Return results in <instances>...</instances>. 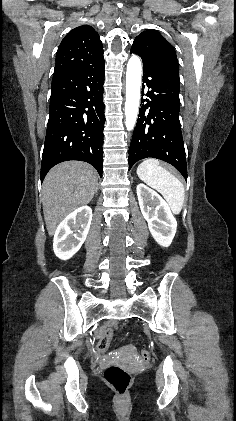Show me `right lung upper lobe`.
<instances>
[{
	"label": "right lung upper lobe",
	"instance_id": "cb5924a9",
	"mask_svg": "<svg viewBox=\"0 0 236 421\" xmlns=\"http://www.w3.org/2000/svg\"><path fill=\"white\" fill-rule=\"evenodd\" d=\"M103 60V47L98 33L88 25L71 30L61 41L54 75L98 63Z\"/></svg>",
	"mask_w": 236,
	"mask_h": 421
}]
</instances>
